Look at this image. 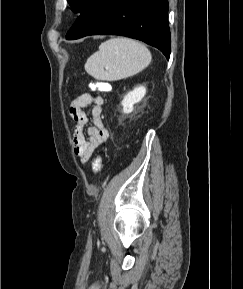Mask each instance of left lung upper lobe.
Segmentation results:
<instances>
[{
  "instance_id": "left-lung-upper-lobe-1",
  "label": "left lung upper lobe",
  "mask_w": 243,
  "mask_h": 289,
  "mask_svg": "<svg viewBox=\"0 0 243 289\" xmlns=\"http://www.w3.org/2000/svg\"><path fill=\"white\" fill-rule=\"evenodd\" d=\"M75 12H82L90 0H67Z\"/></svg>"
}]
</instances>
